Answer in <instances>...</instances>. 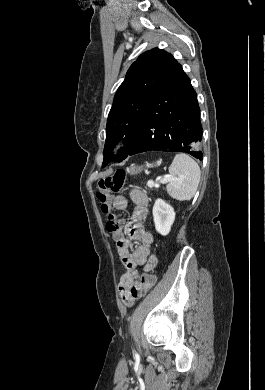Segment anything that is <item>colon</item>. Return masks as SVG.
I'll list each match as a JSON object with an SVG mask.
<instances>
[{"label":"colon","mask_w":265,"mask_h":390,"mask_svg":"<svg viewBox=\"0 0 265 390\" xmlns=\"http://www.w3.org/2000/svg\"><path fill=\"white\" fill-rule=\"evenodd\" d=\"M125 180L126 172L124 170H117L113 175L97 182L96 196L102 204V211L108 216L106 230L114 240L121 238L123 234V222L117 215L111 212L109 200L113 193H117L123 188ZM140 282L143 293H146L154 286L156 277L153 274H144Z\"/></svg>","instance_id":"1"}]
</instances>
